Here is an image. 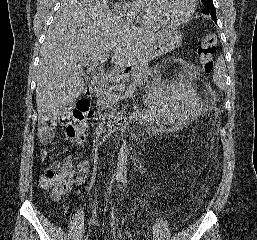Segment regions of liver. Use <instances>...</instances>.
Wrapping results in <instances>:
<instances>
[{
	"label": "liver",
	"instance_id": "6515ba94",
	"mask_svg": "<svg viewBox=\"0 0 257 240\" xmlns=\"http://www.w3.org/2000/svg\"><path fill=\"white\" fill-rule=\"evenodd\" d=\"M135 27L114 15L103 0H64L42 45L36 76L39 118L46 120L73 103L84 90L83 67L111 53L118 80L164 34Z\"/></svg>",
	"mask_w": 257,
	"mask_h": 240
}]
</instances>
